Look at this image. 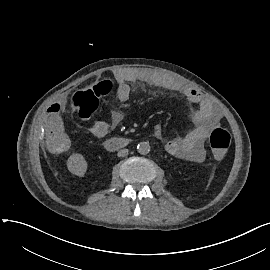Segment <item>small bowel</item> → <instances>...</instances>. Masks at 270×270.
Here are the masks:
<instances>
[{
	"instance_id": "c3829d8e",
	"label": "small bowel",
	"mask_w": 270,
	"mask_h": 270,
	"mask_svg": "<svg viewBox=\"0 0 270 270\" xmlns=\"http://www.w3.org/2000/svg\"><path fill=\"white\" fill-rule=\"evenodd\" d=\"M116 79L118 87L115 95L120 102H125L130 97L129 83L139 82L176 92L193 103L196 109L195 127L185 136L170 139L166 143V149L170 154L187 158L194 163H202L205 160L204 140L220 121V114L208 99L197 90L169 78L160 71L148 68L121 70L116 74ZM45 118L46 153L52 159H59L64 155L66 149H71L75 145V139L67 133L66 110L60 105V100L56 96H51L47 100ZM122 118L119 112H114L111 124L104 120H96L90 124L87 130L95 137H104L109 133L111 126L118 125ZM154 136L157 139L163 138L162 129L159 126L155 128Z\"/></svg>"
}]
</instances>
